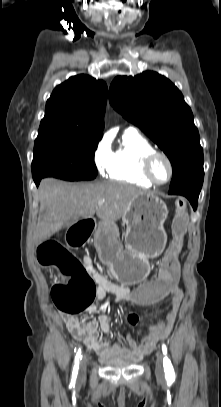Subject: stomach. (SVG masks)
Returning a JSON list of instances; mask_svg holds the SVG:
<instances>
[{
  "label": "stomach",
  "mask_w": 221,
  "mask_h": 407,
  "mask_svg": "<svg viewBox=\"0 0 221 407\" xmlns=\"http://www.w3.org/2000/svg\"><path fill=\"white\" fill-rule=\"evenodd\" d=\"M167 216L165 202L156 195L145 193L131 200L123 215L126 249L113 250L110 262L119 282L131 285L147 276L148 259L158 257L165 248L167 235L163 225ZM101 227L111 229L112 225L103 223Z\"/></svg>",
  "instance_id": "1"
}]
</instances>
